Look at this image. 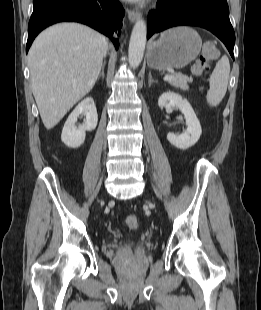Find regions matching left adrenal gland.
I'll return each instance as SVG.
<instances>
[{"label":"left adrenal gland","instance_id":"1","mask_svg":"<svg viewBox=\"0 0 261 310\" xmlns=\"http://www.w3.org/2000/svg\"><path fill=\"white\" fill-rule=\"evenodd\" d=\"M152 83H158V82L155 81V80L152 78L151 73H149V77H148V85H149V87L151 86Z\"/></svg>","mask_w":261,"mask_h":310}]
</instances>
